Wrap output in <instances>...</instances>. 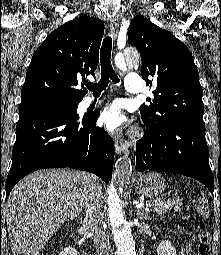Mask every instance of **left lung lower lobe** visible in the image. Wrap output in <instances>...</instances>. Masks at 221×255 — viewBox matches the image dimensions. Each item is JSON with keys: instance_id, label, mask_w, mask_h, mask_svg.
<instances>
[{"instance_id": "0a47b994", "label": "left lung lower lobe", "mask_w": 221, "mask_h": 255, "mask_svg": "<svg viewBox=\"0 0 221 255\" xmlns=\"http://www.w3.org/2000/svg\"><path fill=\"white\" fill-rule=\"evenodd\" d=\"M144 125V136L136 144L138 172L155 170L189 176L213 193L205 126L179 118L158 127Z\"/></svg>"}]
</instances>
